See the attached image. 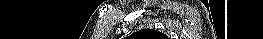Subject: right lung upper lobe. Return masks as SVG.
Here are the masks:
<instances>
[{
  "label": "right lung upper lobe",
  "mask_w": 263,
  "mask_h": 39,
  "mask_svg": "<svg viewBox=\"0 0 263 39\" xmlns=\"http://www.w3.org/2000/svg\"><path fill=\"white\" fill-rule=\"evenodd\" d=\"M143 31V32H142ZM141 31V35H148V36H153V37H158V38H162L164 37V34L156 31V30H152V29H146V30H142ZM139 33V32H138Z\"/></svg>",
  "instance_id": "cb5924a9"
}]
</instances>
